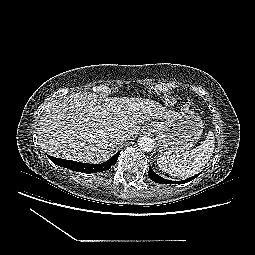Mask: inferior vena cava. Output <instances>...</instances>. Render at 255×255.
Wrapping results in <instances>:
<instances>
[{"label":"inferior vena cava","mask_w":255,"mask_h":255,"mask_svg":"<svg viewBox=\"0 0 255 255\" xmlns=\"http://www.w3.org/2000/svg\"><path fill=\"white\" fill-rule=\"evenodd\" d=\"M116 140L123 144L127 140V136L125 134H117Z\"/></svg>","instance_id":"inferior-vena-cava-1"}]
</instances>
